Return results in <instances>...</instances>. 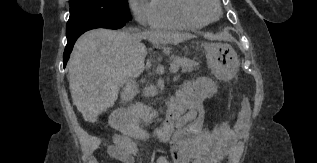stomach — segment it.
I'll return each instance as SVG.
<instances>
[{"label": "stomach", "instance_id": "1", "mask_svg": "<svg viewBox=\"0 0 317 163\" xmlns=\"http://www.w3.org/2000/svg\"><path fill=\"white\" fill-rule=\"evenodd\" d=\"M204 49L208 65L217 78L225 80L235 75L239 67V59L230 45L209 43L204 45Z\"/></svg>", "mask_w": 317, "mask_h": 163}]
</instances>
